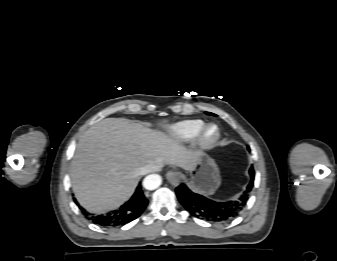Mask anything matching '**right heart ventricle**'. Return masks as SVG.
Wrapping results in <instances>:
<instances>
[{"label": "right heart ventricle", "mask_w": 337, "mask_h": 261, "mask_svg": "<svg viewBox=\"0 0 337 261\" xmlns=\"http://www.w3.org/2000/svg\"><path fill=\"white\" fill-rule=\"evenodd\" d=\"M205 126V122L200 119L184 120L172 125L169 128L170 136L177 142H191Z\"/></svg>", "instance_id": "1"}]
</instances>
